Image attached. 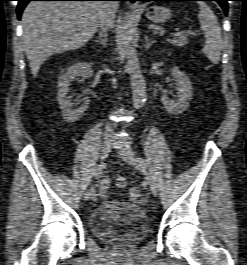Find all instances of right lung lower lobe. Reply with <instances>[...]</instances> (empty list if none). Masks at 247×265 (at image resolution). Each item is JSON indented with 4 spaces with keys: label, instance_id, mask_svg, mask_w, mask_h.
<instances>
[{
    "label": "right lung lower lobe",
    "instance_id": "obj_1",
    "mask_svg": "<svg viewBox=\"0 0 247 265\" xmlns=\"http://www.w3.org/2000/svg\"><path fill=\"white\" fill-rule=\"evenodd\" d=\"M17 1H18L17 15L18 19H20L23 9L30 1H101V0H17ZM112 1H126V0H112Z\"/></svg>",
    "mask_w": 247,
    "mask_h": 265
}]
</instances>
